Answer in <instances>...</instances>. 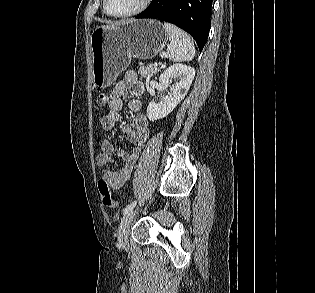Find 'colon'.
Segmentation results:
<instances>
[{
    "mask_svg": "<svg viewBox=\"0 0 315 293\" xmlns=\"http://www.w3.org/2000/svg\"><path fill=\"white\" fill-rule=\"evenodd\" d=\"M108 102V96L106 93H100L96 99V104L99 107H103ZM98 189L101 197V201L104 206L109 208H116L118 206L117 201L114 199L110 187L106 181L100 180L98 182Z\"/></svg>",
    "mask_w": 315,
    "mask_h": 293,
    "instance_id": "5ec220e1",
    "label": "colon"
}]
</instances>
